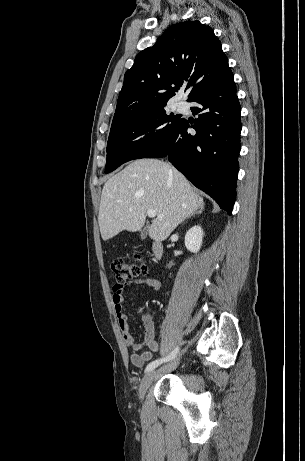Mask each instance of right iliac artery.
<instances>
[{"mask_svg":"<svg viewBox=\"0 0 305 461\" xmlns=\"http://www.w3.org/2000/svg\"><path fill=\"white\" fill-rule=\"evenodd\" d=\"M178 352V348H176L174 351H172V353L162 359H157V360H154L152 362H150L147 366H146V369H145V372H149L151 370H153L154 368H156L159 364L165 362V361H169L171 359H173L176 354Z\"/></svg>","mask_w":305,"mask_h":461,"instance_id":"1","label":"right iliac artery"}]
</instances>
